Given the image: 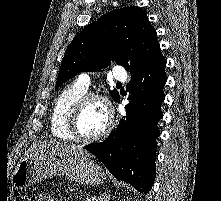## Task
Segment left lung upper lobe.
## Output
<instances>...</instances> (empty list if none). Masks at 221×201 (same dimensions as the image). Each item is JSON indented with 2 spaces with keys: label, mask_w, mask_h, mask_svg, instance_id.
Instances as JSON below:
<instances>
[{
  "label": "left lung upper lobe",
  "mask_w": 221,
  "mask_h": 201,
  "mask_svg": "<svg viewBox=\"0 0 221 201\" xmlns=\"http://www.w3.org/2000/svg\"><path fill=\"white\" fill-rule=\"evenodd\" d=\"M160 55L156 30L146 13L137 6L116 9L86 26L73 39L61 64L55 90L80 72L99 71L110 65L111 60L134 76ZM110 95L115 101L119 98L116 90L110 91Z\"/></svg>",
  "instance_id": "obj_1"
}]
</instances>
